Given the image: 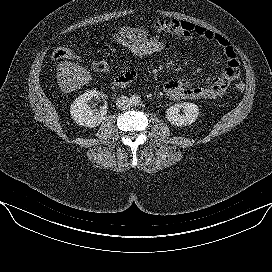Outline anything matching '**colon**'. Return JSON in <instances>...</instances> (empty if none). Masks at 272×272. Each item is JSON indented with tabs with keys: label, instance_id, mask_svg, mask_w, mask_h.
Returning <instances> with one entry per match:
<instances>
[{
	"label": "colon",
	"instance_id": "1",
	"mask_svg": "<svg viewBox=\"0 0 272 272\" xmlns=\"http://www.w3.org/2000/svg\"><path fill=\"white\" fill-rule=\"evenodd\" d=\"M111 41L127 54L134 57H150L161 55L169 49L167 40L161 37L150 36L147 38H135L120 35L116 32L111 34ZM52 56L56 60L71 59L76 57L75 52L66 47L56 48ZM92 68L96 72L104 73L109 70V64L105 60H97L92 63ZM238 91L242 92L245 89V84L239 82L236 84Z\"/></svg>",
	"mask_w": 272,
	"mask_h": 272
}]
</instances>
